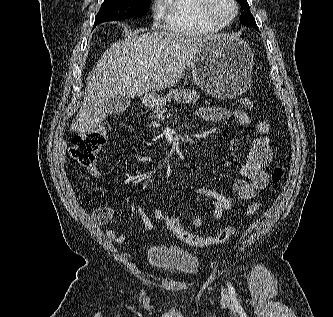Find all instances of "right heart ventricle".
I'll return each mask as SVG.
<instances>
[{
	"mask_svg": "<svg viewBox=\"0 0 333 317\" xmlns=\"http://www.w3.org/2000/svg\"><path fill=\"white\" fill-rule=\"evenodd\" d=\"M200 0H160L158 13L163 29L167 32L186 36H206L221 28L206 22L199 12Z\"/></svg>",
	"mask_w": 333,
	"mask_h": 317,
	"instance_id": "right-heart-ventricle-1",
	"label": "right heart ventricle"
}]
</instances>
